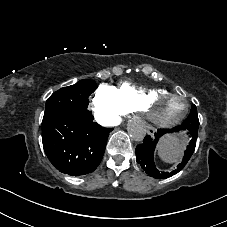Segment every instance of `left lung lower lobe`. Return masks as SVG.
Returning a JSON list of instances; mask_svg holds the SVG:
<instances>
[{
	"label": "left lung lower lobe",
	"mask_w": 227,
	"mask_h": 227,
	"mask_svg": "<svg viewBox=\"0 0 227 227\" xmlns=\"http://www.w3.org/2000/svg\"><path fill=\"white\" fill-rule=\"evenodd\" d=\"M180 130H188V134L192 137L190 143L187 146V149L184 153V157L182 162L177 166V169L171 172L160 171L156 168L154 163V150L159 138L166 134L172 132H178ZM154 138L147 135L143 143L136 147V160L141 165L142 169L151 177L157 179H165L171 177L173 174H177L180 170L184 168V166L189 161L190 157L192 156L195 146H196V139L198 135V131L190 130L186 128H182V126H177L173 129H160L157 133L154 134Z\"/></svg>",
	"instance_id": "1"
}]
</instances>
